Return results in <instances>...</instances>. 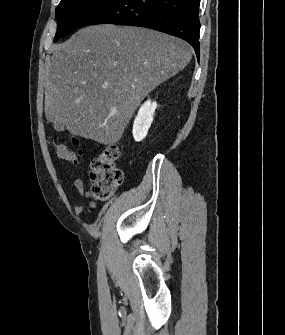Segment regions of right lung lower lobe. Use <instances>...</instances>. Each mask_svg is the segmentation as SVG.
<instances>
[{
  "mask_svg": "<svg viewBox=\"0 0 285 335\" xmlns=\"http://www.w3.org/2000/svg\"><path fill=\"white\" fill-rule=\"evenodd\" d=\"M200 0H116L84 24L151 28L187 41L200 58Z\"/></svg>",
  "mask_w": 285,
  "mask_h": 335,
  "instance_id": "1",
  "label": "right lung lower lobe"
}]
</instances>
